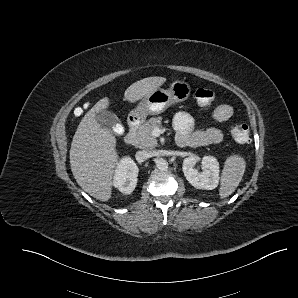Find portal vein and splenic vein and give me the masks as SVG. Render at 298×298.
<instances>
[{"instance_id":"portal-vein-and-splenic-vein-1","label":"portal vein and splenic vein","mask_w":298,"mask_h":298,"mask_svg":"<svg viewBox=\"0 0 298 298\" xmlns=\"http://www.w3.org/2000/svg\"><path fill=\"white\" fill-rule=\"evenodd\" d=\"M162 134L161 128L160 127H154L153 131H152V135L154 137H158Z\"/></svg>"}]
</instances>
